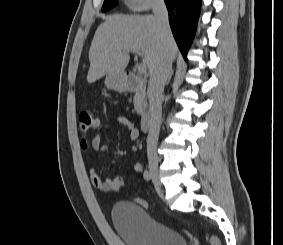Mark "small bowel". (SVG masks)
<instances>
[{
    "label": "small bowel",
    "mask_w": 283,
    "mask_h": 245,
    "mask_svg": "<svg viewBox=\"0 0 283 245\" xmlns=\"http://www.w3.org/2000/svg\"><path fill=\"white\" fill-rule=\"evenodd\" d=\"M117 122L126 127L129 133L130 140L134 141L139 137V130L134 123H132L129 119L124 116H119L117 118ZM83 146L85 148L90 147L92 150L96 152H104L108 149V144L104 142L103 135L98 133L94 135L90 141H88L87 137L84 135L82 139ZM133 172L140 173L142 172V164L140 162H136L133 165ZM90 181L92 185L99 191L106 192L112 190V178L101 179L100 176L96 173L93 168L89 170Z\"/></svg>",
    "instance_id": "obj_1"
}]
</instances>
